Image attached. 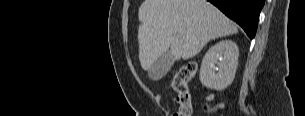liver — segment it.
<instances>
[{"label": "liver", "mask_w": 305, "mask_h": 116, "mask_svg": "<svg viewBox=\"0 0 305 116\" xmlns=\"http://www.w3.org/2000/svg\"><path fill=\"white\" fill-rule=\"evenodd\" d=\"M139 60L148 70L169 48L190 59L210 40L236 34L237 26L206 0H145L139 8Z\"/></svg>", "instance_id": "liver-1"}]
</instances>
